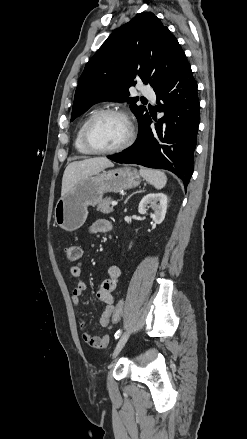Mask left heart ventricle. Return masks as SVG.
Wrapping results in <instances>:
<instances>
[{"mask_svg":"<svg viewBox=\"0 0 247 439\" xmlns=\"http://www.w3.org/2000/svg\"><path fill=\"white\" fill-rule=\"evenodd\" d=\"M128 136L126 122L118 116L97 119L90 129V140L99 149H111L122 144Z\"/></svg>","mask_w":247,"mask_h":439,"instance_id":"left-heart-ventricle-1","label":"left heart ventricle"}]
</instances>
